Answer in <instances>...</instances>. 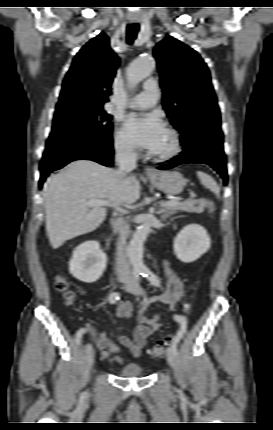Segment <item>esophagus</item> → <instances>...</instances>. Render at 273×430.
I'll return each instance as SVG.
<instances>
[{"instance_id": "34e87169", "label": "esophagus", "mask_w": 273, "mask_h": 430, "mask_svg": "<svg viewBox=\"0 0 273 430\" xmlns=\"http://www.w3.org/2000/svg\"><path fill=\"white\" fill-rule=\"evenodd\" d=\"M156 172H155V169H153V168H151V167H147L146 169H145V174L146 175H154Z\"/></svg>"}]
</instances>
